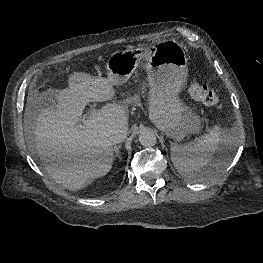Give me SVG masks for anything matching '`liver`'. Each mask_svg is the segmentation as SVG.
<instances>
[{
    "instance_id": "1",
    "label": "liver",
    "mask_w": 263,
    "mask_h": 263,
    "mask_svg": "<svg viewBox=\"0 0 263 263\" xmlns=\"http://www.w3.org/2000/svg\"><path fill=\"white\" fill-rule=\"evenodd\" d=\"M68 86L48 91L55 96L57 107L42 108L37 116L32 112L35 99L29 96L24 126L34 131L35 148L47 174L62 188L79 191L111 170L114 148L109 134L114 128H127L128 110L108 103L85 120L87 103L111 100L113 85L107 78L74 72ZM79 122L84 123L82 129L77 127Z\"/></svg>"
}]
</instances>
